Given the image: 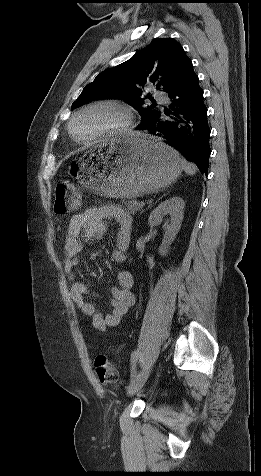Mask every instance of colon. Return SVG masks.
<instances>
[{
	"label": "colon",
	"instance_id": "colon-1",
	"mask_svg": "<svg viewBox=\"0 0 261 476\" xmlns=\"http://www.w3.org/2000/svg\"><path fill=\"white\" fill-rule=\"evenodd\" d=\"M80 204V196L75 186L69 181H62L56 187L54 211L66 215ZM95 372L99 381L104 385L118 382V374L114 365L105 355H98L94 362Z\"/></svg>",
	"mask_w": 261,
	"mask_h": 476
}]
</instances>
